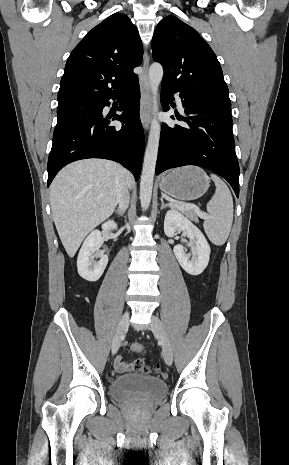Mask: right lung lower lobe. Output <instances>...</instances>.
Listing matches in <instances>:
<instances>
[{
    "label": "right lung lower lobe",
    "mask_w": 289,
    "mask_h": 465,
    "mask_svg": "<svg viewBox=\"0 0 289 465\" xmlns=\"http://www.w3.org/2000/svg\"><path fill=\"white\" fill-rule=\"evenodd\" d=\"M120 98L121 115L104 116L102 110L109 99ZM140 89L138 79L119 94L100 101L97 114L53 135L48 158L50 185L58 171L70 162L86 158H105L121 163L138 180L145 147L144 134L138 115ZM122 121L121 127L109 126L111 121Z\"/></svg>",
    "instance_id": "obj_1"
}]
</instances>
